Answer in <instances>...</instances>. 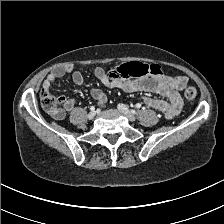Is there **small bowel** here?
Here are the masks:
<instances>
[{
	"instance_id": "small-bowel-1",
	"label": "small bowel",
	"mask_w": 224,
	"mask_h": 224,
	"mask_svg": "<svg viewBox=\"0 0 224 224\" xmlns=\"http://www.w3.org/2000/svg\"><path fill=\"white\" fill-rule=\"evenodd\" d=\"M66 74H71L72 80L76 85L81 86L83 84V75L79 71H74L72 65H65L57 67L47 75L42 84V91H50L53 83ZM94 76L101 84L109 88L123 89L127 92L145 91L161 95L164 99H156L149 96H142L141 99L149 107L164 113L168 119L179 114L182 108L180 91L188 83V79L184 76L173 77L162 73L135 80H121L109 77L101 67L94 69ZM90 93L99 104H104L107 100L105 93L98 88H92ZM74 105V100L68 99L64 104V109H61L54 117L56 119L64 118L66 111L72 110Z\"/></svg>"
}]
</instances>
